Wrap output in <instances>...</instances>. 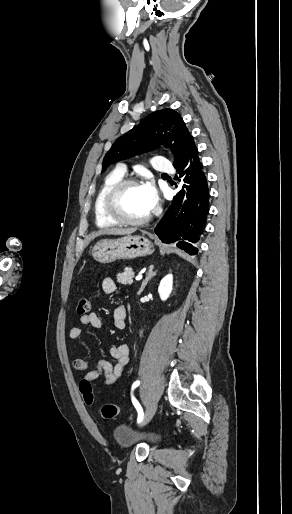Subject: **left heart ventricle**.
<instances>
[{
  "label": "left heart ventricle",
  "instance_id": "1",
  "mask_svg": "<svg viewBox=\"0 0 292 514\" xmlns=\"http://www.w3.org/2000/svg\"><path fill=\"white\" fill-rule=\"evenodd\" d=\"M115 209L121 216L128 219L141 218L150 211L140 186L123 189L115 199Z\"/></svg>",
  "mask_w": 292,
  "mask_h": 514
}]
</instances>
